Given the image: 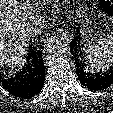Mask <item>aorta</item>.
<instances>
[{"mask_svg":"<svg viewBox=\"0 0 113 113\" xmlns=\"http://www.w3.org/2000/svg\"><path fill=\"white\" fill-rule=\"evenodd\" d=\"M46 48L54 54H64L68 50V41L66 38H51L46 42Z\"/></svg>","mask_w":113,"mask_h":113,"instance_id":"762f6f07","label":"aorta"}]
</instances>
